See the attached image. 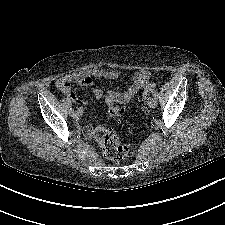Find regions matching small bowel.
I'll list each match as a JSON object with an SVG mask.
<instances>
[{
    "label": "small bowel",
    "instance_id": "small-bowel-1",
    "mask_svg": "<svg viewBox=\"0 0 225 225\" xmlns=\"http://www.w3.org/2000/svg\"><path fill=\"white\" fill-rule=\"evenodd\" d=\"M120 71L113 69H92L86 72L71 73L59 77L56 80V87L64 94L69 96L71 100L80 107L82 111L85 103L72 91L71 84L76 83L83 87L92 88L93 95L96 99H101L104 96V92L99 87L95 86L94 79H107L113 80L120 76ZM132 83L124 91H108L105 102L108 107L114 106L115 104H126L130 102L134 96L148 83L149 72L146 70H138L131 76ZM92 128L90 126L85 127V133L88 135L92 134Z\"/></svg>",
    "mask_w": 225,
    "mask_h": 225
}]
</instances>
